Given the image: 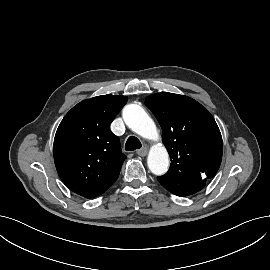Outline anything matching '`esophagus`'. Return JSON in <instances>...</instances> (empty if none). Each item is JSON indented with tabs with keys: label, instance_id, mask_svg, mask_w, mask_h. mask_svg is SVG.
Here are the masks:
<instances>
[{
	"label": "esophagus",
	"instance_id": "esophagus-1",
	"mask_svg": "<svg viewBox=\"0 0 270 270\" xmlns=\"http://www.w3.org/2000/svg\"><path fill=\"white\" fill-rule=\"evenodd\" d=\"M148 153V148L146 146L142 147L141 149H139L137 151V155L141 156V157H144L146 156Z\"/></svg>",
	"mask_w": 270,
	"mask_h": 270
}]
</instances>
